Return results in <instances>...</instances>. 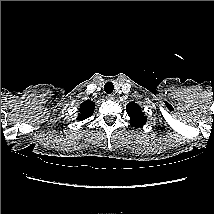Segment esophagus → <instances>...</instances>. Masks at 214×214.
<instances>
[{"label":"esophagus","instance_id":"1","mask_svg":"<svg viewBox=\"0 0 214 214\" xmlns=\"http://www.w3.org/2000/svg\"><path fill=\"white\" fill-rule=\"evenodd\" d=\"M106 98L109 99V100H113L115 97H114V95H107Z\"/></svg>","mask_w":214,"mask_h":214}]
</instances>
